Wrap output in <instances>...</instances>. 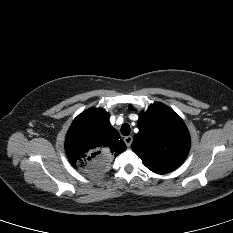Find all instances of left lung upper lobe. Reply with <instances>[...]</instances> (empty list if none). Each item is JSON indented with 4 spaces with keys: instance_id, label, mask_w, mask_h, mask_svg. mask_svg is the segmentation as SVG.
<instances>
[{
    "instance_id": "1",
    "label": "left lung upper lobe",
    "mask_w": 233,
    "mask_h": 233,
    "mask_svg": "<svg viewBox=\"0 0 233 233\" xmlns=\"http://www.w3.org/2000/svg\"><path fill=\"white\" fill-rule=\"evenodd\" d=\"M133 151L151 171L165 174L178 168L190 149L189 132L171 108L154 103L139 115Z\"/></svg>"
}]
</instances>
